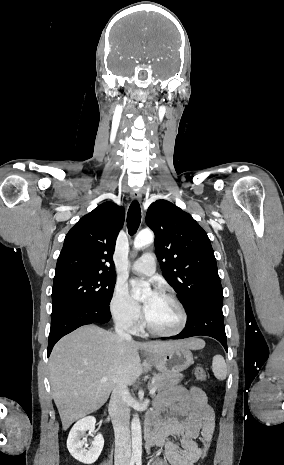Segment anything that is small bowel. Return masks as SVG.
<instances>
[{
    "instance_id": "obj_1",
    "label": "small bowel",
    "mask_w": 284,
    "mask_h": 465,
    "mask_svg": "<svg viewBox=\"0 0 284 465\" xmlns=\"http://www.w3.org/2000/svg\"><path fill=\"white\" fill-rule=\"evenodd\" d=\"M145 427L148 449L162 450L170 465H194L202 456L197 440L212 439L215 415L206 394L179 385L163 393Z\"/></svg>"
}]
</instances>
